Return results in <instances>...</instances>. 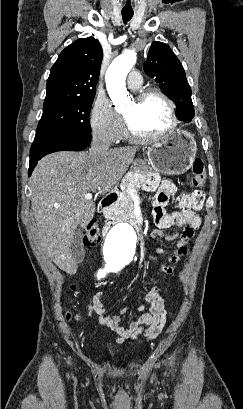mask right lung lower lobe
Instances as JSON below:
<instances>
[{
    "label": "right lung lower lobe",
    "mask_w": 243,
    "mask_h": 409,
    "mask_svg": "<svg viewBox=\"0 0 243 409\" xmlns=\"http://www.w3.org/2000/svg\"><path fill=\"white\" fill-rule=\"evenodd\" d=\"M92 135H63L37 132L30 152L28 176H31L37 162L47 154L57 151H81L89 146Z\"/></svg>",
    "instance_id": "obj_1"
}]
</instances>
